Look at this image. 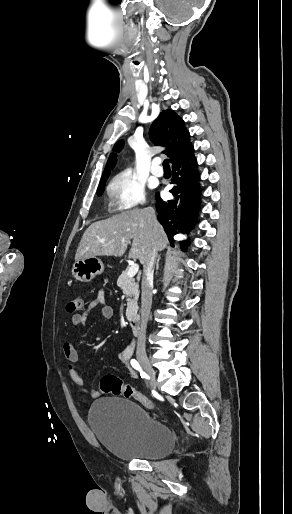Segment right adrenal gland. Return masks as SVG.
<instances>
[{"label": "right adrenal gland", "mask_w": 292, "mask_h": 514, "mask_svg": "<svg viewBox=\"0 0 292 514\" xmlns=\"http://www.w3.org/2000/svg\"><path fill=\"white\" fill-rule=\"evenodd\" d=\"M159 262H160V256H157L156 270H159ZM156 274H157V272H156Z\"/></svg>", "instance_id": "obj_1"}]
</instances>
